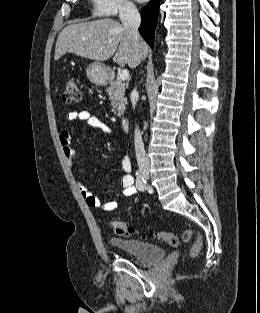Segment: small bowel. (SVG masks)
I'll use <instances>...</instances> for the list:
<instances>
[{
	"label": "small bowel",
	"instance_id": "obj_1",
	"mask_svg": "<svg viewBox=\"0 0 260 313\" xmlns=\"http://www.w3.org/2000/svg\"><path fill=\"white\" fill-rule=\"evenodd\" d=\"M68 119L70 121L80 120L85 121L92 128L103 131L106 134H112L111 128L100 120L98 117L92 115L86 110H75L69 113ZM72 133L68 129L61 131L59 135V142L62 148L64 158L67 165L74 175L78 174L77 164L75 160L74 150L71 146ZM120 164L123 170V175L120 181L121 192L124 196H133L136 194V188L134 186V178L131 174V162L129 158L124 155L120 159ZM77 188L85 200L86 204L90 208L103 209L104 211H113L117 208L118 202L116 200H110L103 203L98 197H96L83 182H77Z\"/></svg>",
	"mask_w": 260,
	"mask_h": 313
}]
</instances>
